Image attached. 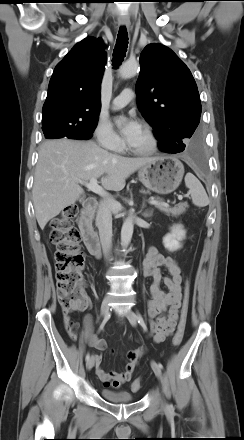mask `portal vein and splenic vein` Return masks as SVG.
<instances>
[{
    "label": "portal vein and splenic vein",
    "instance_id": "obj_1",
    "mask_svg": "<svg viewBox=\"0 0 244 440\" xmlns=\"http://www.w3.org/2000/svg\"><path fill=\"white\" fill-rule=\"evenodd\" d=\"M77 182L82 184V185H84L85 187H87L88 190H90V191H92V192H94V193H96V194H98V195H100L102 197L108 195V193L100 185H98L96 178H92L89 182H85V181H82V180H77ZM187 196H189V193L187 194ZM178 199L182 200L183 196L182 195H178ZM149 203L152 204V205H159V204H161V205L166 206V207L169 206L165 202L157 201V200H154V199H151L149 201Z\"/></svg>",
    "mask_w": 244,
    "mask_h": 440
}]
</instances>
